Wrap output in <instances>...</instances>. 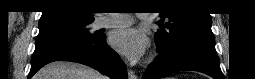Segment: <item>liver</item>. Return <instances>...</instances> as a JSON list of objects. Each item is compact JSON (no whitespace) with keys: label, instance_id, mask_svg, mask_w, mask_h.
<instances>
[{"label":"liver","instance_id":"liver-1","mask_svg":"<svg viewBox=\"0 0 255 79\" xmlns=\"http://www.w3.org/2000/svg\"><path fill=\"white\" fill-rule=\"evenodd\" d=\"M34 79H105L96 70L83 64L55 61L39 70Z\"/></svg>","mask_w":255,"mask_h":79}]
</instances>
